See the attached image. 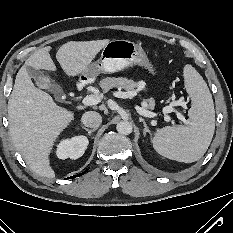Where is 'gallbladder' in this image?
I'll list each match as a JSON object with an SVG mask.
<instances>
[{"instance_id": "gallbladder-1", "label": "gallbladder", "mask_w": 233, "mask_h": 233, "mask_svg": "<svg viewBox=\"0 0 233 233\" xmlns=\"http://www.w3.org/2000/svg\"><path fill=\"white\" fill-rule=\"evenodd\" d=\"M27 72L31 78H33L36 82V85L42 89H47L50 92L54 93L55 98L60 100L63 91L61 87L52 82L47 76H45L40 70H37L33 67L27 66Z\"/></svg>"}]
</instances>
